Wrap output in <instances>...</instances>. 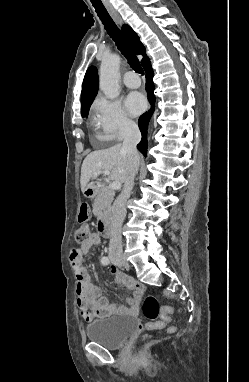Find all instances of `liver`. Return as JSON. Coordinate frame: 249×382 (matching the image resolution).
<instances>
[{
    "label": "liver",
    "mask_w": 249,
    "mask_h": 382,
    "mask_svg": "<svg viewBox=\"0 0 249 382\" xmlns=\"http://www.w3.org/2000/svg\"><path fill=\"white\" fill-rule=\"evenodd\" d=\"M130 160L122 144L98 150L86 156L81 167V191L95 188V183H89L91 178L97 177L94 173L107 170L109 177L114 181L124 183L129 172ZM99 175V174H98Z\"/></svg>",
    "instance_id": "1"
}]
</instances>
